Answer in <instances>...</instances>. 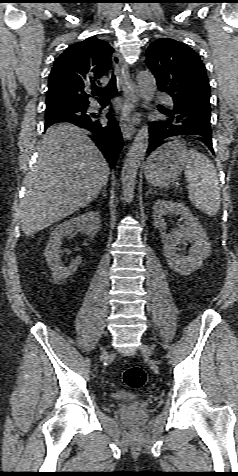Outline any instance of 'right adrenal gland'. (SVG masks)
Wrapping results in <instances>:
<instances>
[{
  "instance_id": "1",
  "label": "right adrenal gland",
  "mask_w": 238,
  "mask_h": 476,
  "mask_svg": "<svg viewBox=\"0 0 238 476\" xmlns=\"http://www.w3.org/2000/svg\"><path fill=\"white\" fill-rule=\"evenodd\" d=\"M100 194H103L104 196H107V194H106V186H104V187L102 188L101 192H100L95 198H97Z\"/></svg>"
}]
</instances>
